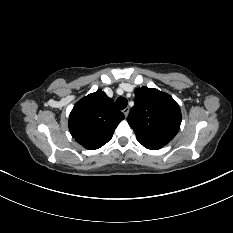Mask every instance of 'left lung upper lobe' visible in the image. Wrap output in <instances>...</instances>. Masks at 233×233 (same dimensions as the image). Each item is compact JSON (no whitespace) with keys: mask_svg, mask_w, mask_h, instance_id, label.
Returning a JSON list of instances; mask_svg holds the SVG:
<instances>
[{"mask_svg":"<svg viewBox=\"0 0 233 233\" xmlns=\"http://www.w3.org/2000/svg\"><path fill=\"white\" fill-rule=\"evenodd\" d=\"M128 123L144 147H163L177 134L181 111L170 95L142 87L135 90V105L129 113Z\"/></svg>","mask_w":233,"mask_h":233,"instance_id":"left-lung-upper-lobe-1","label":"left lung upper lobe"}]
</instances>
